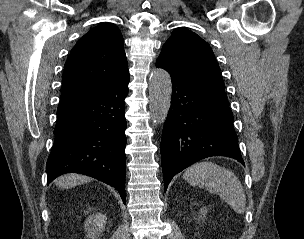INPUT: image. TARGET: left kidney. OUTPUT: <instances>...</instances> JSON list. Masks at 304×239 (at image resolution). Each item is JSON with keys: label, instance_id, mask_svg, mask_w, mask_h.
I'll list each match as a JSON object with an SVG mask.
<instances>
[{"label": "left kidney", "instance_id": "left-kidney-1", "mask_svg": "<svg viewBox=\"0 0 304 239\" xmlns=\"http://www.w3.org/2000/svg\"><path fill=\"white\" fill-rule=\"evenodd\" d=\"M200 213H201L203 216H205V215L207 214V209H206V208H202V209L200 210Z\"/></svg>", "mask_w": 304, "mask_h": 239}]
</instances>
